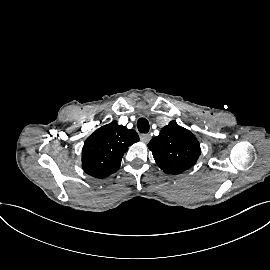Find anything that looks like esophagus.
I'll list each match as a JSON object with an SVG mask.
<instances>
[{"mask_svg":"<svg viewBox=\"0 0 270 270\" xmlns=\"http://www.w3.org/2000/svg\"><path fill=\"white\" fill-rule=\"evenodd\" d=\"M140 140L144 143H148L151 140L150 134H142L140 135Z\"/></svg>","mask_w":270,"mask_h":270,"instance_id":"34e87169","label":"esophagus"}]
</instances>
